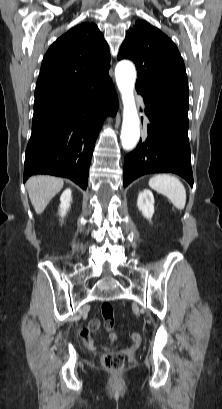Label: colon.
<instances>
[{
  "instance_id": "1",
  "label": "colon",
  "mask_w": 222,
  "mask_h": 409,
  "mask_svg": "<svg viewBox=\"0 0 222 409\" xmlns=\"http://www.w3.org/2000/svg\"><path fill=\"white\" fill-rule=\"evenodd\" d=\"M101 314L106 329L112 330L114 327L113 306L108 302L103 303L101 306ZM80 334L84 339L88 338V331L86 328L83 329ZM131 340L134 343H139L141 341V335L137 332H133L131 334ZM101 361L105 369L113 372L121 371L125 366V358L121 353H106L102 355Z\"/></svg>"
}]
</instances>
